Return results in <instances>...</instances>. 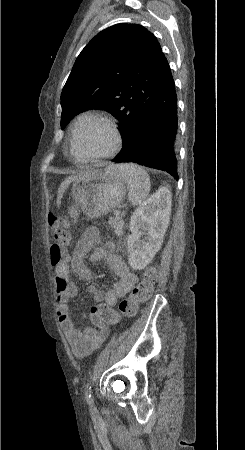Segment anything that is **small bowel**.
<instances>
[{
  "label": "small bowel",
  "mask_w": 245,
  "mask_h": 450,
  "mask_svg": "<svg viewBox=\"0 0 245 450\" xmlns=\"http://www.w3.org/2000/svg\"><path fill=\"white\" fill-rule=\"evenodd\" d=\"M115 243L101 241L94 228L87 229L76 243L71 257L53 269L57 303V319L63 325L66 338L73 353L83 359L91 355L106 340L109 328L106 323L98 321L92 314H82L88 317L96 328L79 330L74 324L68 300L78 294L76 283L69 282V275L74 271L82 280H90L92 273L84 263L85 257L91 252L92 263H103L114 274L116 280L107 291H102L90 285L87 291L95 302H103L114 306L117 301L131 291L137 282V276L129 269L122 257L116 253Z\"/></svg>",
  "instance_id": "small-bowel-1"
}]
</instances>
